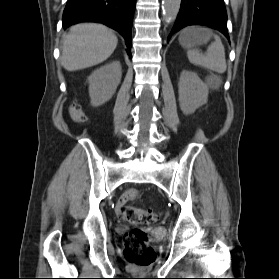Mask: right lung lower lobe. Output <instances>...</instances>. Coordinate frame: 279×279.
<instances>
[{"label":"right lung lower lobe","mask_w":279,"mask_h":279,"mask_svg":"<svg viewBox=\"0 0 279 279\" xmlns=\"http://www.w3.org/2000/svg\"><path fill=\"white\" fill-rule=\"evenodd\" d=\"M136 0H68L63 12V27L78 20H93L117 30L125 39L131 56V29Z\"/></svg>","instance_id":"right-lung-lower-lobe-1"}]
</instances>
